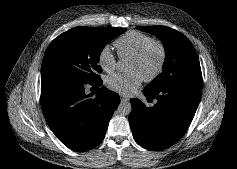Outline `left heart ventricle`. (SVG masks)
<instances>
[{
    "mask_svg": "<svg viewBox=\"0 0 237 169\" xmlns=\"http://www.w3.org/2000/svg\"><path fill=\"white\" fill-rule=\"evenodd\" d=\"M160 53L157 48H152L143 60L130 59L128 71H136L142 78L153 72L159 62Z\"/></svg>",
    "mask_w": 237,
    "mask_h": 169,
    "instance_id": "left-heart-ventricle-1",
    "label": "left heart ventricle"
}]
</instances>
